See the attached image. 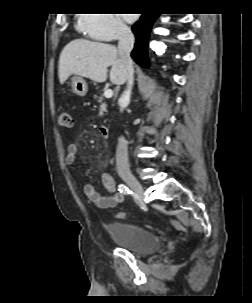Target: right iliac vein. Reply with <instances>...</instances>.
<instances>
[{"label":"right iliac vein","instance_id":"right-iliac-vein-1","mask_svg":"<svg viewBox=\"0 0 252 303\" xmlns=\"http://www.w3.org/2000/svg\"><path fill=\"white\" fill-rule=\"evenodd\" d=\"M122 179L140 196L143 195V187L141 183L130 173L121 175Z\"/></svg>","mask_w":252,"mask_h":303}]
</instances>
